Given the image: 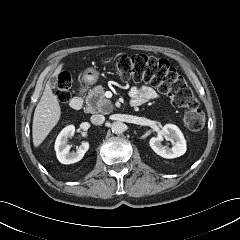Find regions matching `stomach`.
Instances as JSON below:
<instances>
[{"label":"stomach","instance_id":"obj_1","mask_svg":"<svg viewBox=\"0 0 240 240\" xmlns=\"http://www.w3.org/2000/svg\"><path fill=\"white\" fill-rule=\"evenodd\" d=\"M99 78V72L94 68H87L83 72V80L85 83L92 85L97 82Z\"/></svg>","mask_w":240,"mask_h":240}]
</instances>
